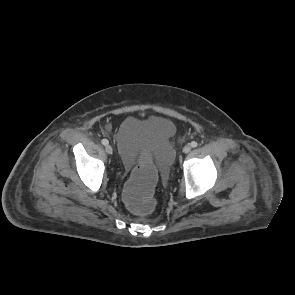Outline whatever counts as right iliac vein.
<instances>
[{"label": "right iliac vein", "instance_id": "obj_1", "mask_svg": "<svg viewBox=\"0 0 295 295\" xmlns=\"http://www.w3.org/2000/svg\"><path fill=\"white\" fill-rule=\"evenodd\" d=\"M105 151H106L108 154H112V152H113L112 146L109 145V144H107V145L105 146Z\"/></svg>", "mask_w": 295, "mask_h": 295}]
</instances>
